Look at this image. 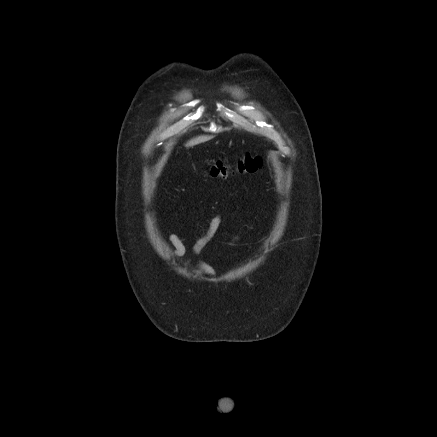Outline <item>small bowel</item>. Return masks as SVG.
<instances>
[{
  "label": "small bowel",
  "mask_w": 437,
  "mask_h": 437,
  "mask_svg": "<svg viewBox=\"0 0 437 437\" xmlns=\"http://www.w3.org/2000/svg\"><path fill=\"white\" fill-rule=\"evenodd\" d=\"M221 222H222V217L220 215H216L210 220L207 230L193 246V253L195 255H200L202 253L204 246L212 239L217 229L219 228ZM238 239L239 236L238 235L235 236L233 240L230 243H228V247L234 246L238 241ZM169 241L173 247V254L175 256L181 257L186 253V247L178 235H176L175 233H171L169 235ZM196 272L209 276H213L216 274V271L214 270L213 267L202 261H199L197 263Z\"/></svg>",
  "instance_id": "c3829d8e"
}]
</instances>
